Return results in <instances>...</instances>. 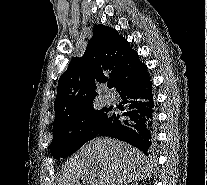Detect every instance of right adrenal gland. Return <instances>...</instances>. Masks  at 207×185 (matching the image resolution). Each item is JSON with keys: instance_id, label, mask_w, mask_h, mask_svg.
<instances>
[{"instance_id": "1", "label": "right adrenal gland", "mask_w": 207, "mask_h": 185, "mask_svg": "<svg viewBox=\"0 0 207 185\" xmlns=\"http://www.w3.org/2000/svg\"><path fill=\"white\" fill-rule=\"evenodd\" d=\"M131 185H139V183H131Z\"/></svg>"}]
</instances>
